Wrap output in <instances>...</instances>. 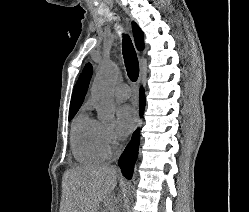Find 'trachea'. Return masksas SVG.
I'll return each mask as SVG.
<instances>
[{"label": "trachea", "mask_w": 249, "mask_h": 212, "mask_svg": "<svg viewBox=\"0 0 249 212\" xmlns=\"http://www.w3.org/2000/svg\"><path fill=\"white\" fill-rule=\"evenodd\" d=\"M123 57L130 80H132V82H136L139 75V63L129 36H124L123 39Z\"/></svg>", "instance_id": "1"}]
</instances>
